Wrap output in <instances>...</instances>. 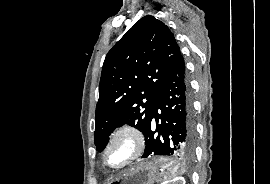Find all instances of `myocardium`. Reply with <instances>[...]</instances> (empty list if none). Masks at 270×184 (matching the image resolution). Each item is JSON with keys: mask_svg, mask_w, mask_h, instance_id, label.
I'll use <instances>...</instances> for the list:
<instances>
[{"mask_svg": "<svg viewBox=\"0 0 270 184\" xmlns=\"http://www.w3.org/2000/svg\"><path fill=\"white\" fill-rule=\"evenodd\" d=\"M126 137L132 143V152L130 156L121 164L112 166L109 165L107 162V155L111 148L117 143V141L122 138ZM145 148V140L144 135L141 130L133 124H124L120 126L110 137L104 150L102 152V162L104 166L111 170H121L129 165L133 164L139 157L142 155Z\"/></svg>", "mask_w": 270, "mask_h": 184, "instance_id": "myocardium-1", "label": "myocardium"}]
</instances>
